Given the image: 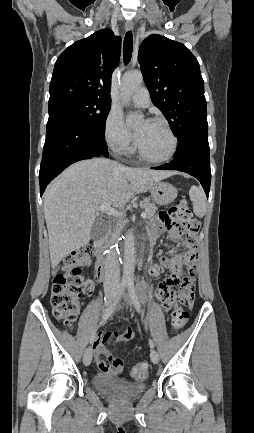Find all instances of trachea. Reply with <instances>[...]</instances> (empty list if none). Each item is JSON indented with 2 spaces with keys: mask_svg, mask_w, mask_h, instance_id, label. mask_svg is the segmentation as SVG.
Returning <instances> with one entry per match:
<instances>
[{
  "mask_svg": "<svg viewBox=\"0 0 254 433\" xmlns=\"http://www.w3.org/2000/svg\"><path fill=\"white\" fill-rule=\"evenodd\" d=\"M133 49V35L131 31H128L125 35L123 42V60L125 64L130 62Z\"/></svg>",
  "mask_w": 254,
  "mask_h": 433,
  "instance_id": "3493384b",
  "label": "trachea"
}]
</instances>
